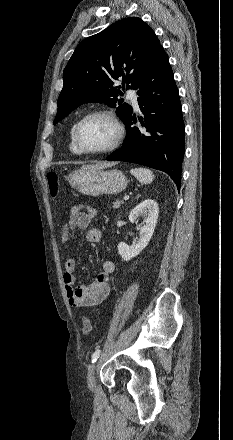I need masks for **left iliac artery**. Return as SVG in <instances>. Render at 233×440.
Instances as JSON below:
<instances>
[{
	"instance_id": "obj_1",
	"label": "left iliac artery",
	"mask_w": 233,
	"mask_h": 440,
	"mask_svg": "<svg viewBox=\"0 0 233 440\" xmlns=\"http://www.w3.org/2000/svg\"><path fill=\"white\" fill-rule=\"evenodd\" d=\"M100 350L98 349V350H96L93 354H92V363H94V362H96L97 361V359L99 358V356H100Z\"/></svg>"
}]
</instances>
